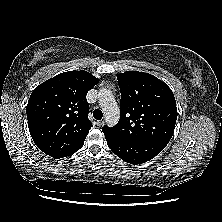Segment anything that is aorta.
<instances>
[{"label": "aorta", "mask_w": 222, "mask_h": 222, "mask_svg": "<svg viewBox=\"0 0 222 222\" xmlns=\"http://www.w3.org/2000/svg\"><path fill=\"white\" fill-rule=\"evenodd\" d=\"M99 104L104 112L106 123L109 127L117 124L120 116V109L112 92L102 88L98 92Z\"/></svg>", "instance_id": "obj_1"}]
</instances>
